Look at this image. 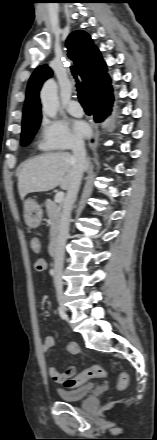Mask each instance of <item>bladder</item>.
<instances>
[{"label": "bladder", "mask_w": 157, "mask_h": 440, "mask_svg": "<svg viewBox=\"0 0 157 440\" xmlns=\"http://www.w3.org/2000/svg\"><path fill=\"white\" fill-rule=\"evenodd\" d=\"M95 385L89 383L76 389H58L57 394L64 402H78L87 397L94 389Z\"/></svg>", "instance_id": "obj_1"}]
</instances>
